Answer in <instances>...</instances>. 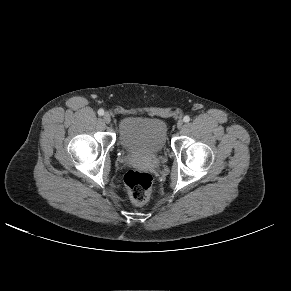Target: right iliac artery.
<instances>
[{"label":"right iliac artery","instance_id":"82829eb1","mask_svg":"<svg viewBox=\"0 0 291 291\" xmlns=\"http://www.w3.org/2000/svg\"><path fill=\"white\" fill-rule=\"evenodd\" d=\"M98 115H99V116L104 115V110H103V109H99V110H98Z\"/></svg>","mask_w":291,"mask_h":291}]
</instances>
